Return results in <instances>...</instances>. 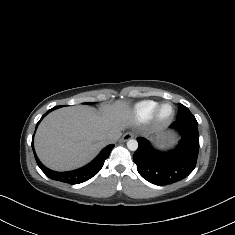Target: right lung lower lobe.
<instances>
[{
    "mask_svg": "<svg viewBox=\"0 0 235 235\" xmlns=\"http://www.w3.org/2000/svg\"><path fill=\"white\" fill-rule=\"evenodd\" d=\"M52 110H54V109L52 108L49 111H47L42 116V118L45 117ZM42 118L37 123L36 128H37L38 124L40 123V121L42 120ZM32 148H33V152H34V156L37 161V164L40 167V169L45 173L46 176H48L49 178H51L53 180L61 181L64 183L79 184V183H82V182L89 180L90 178H92L94 175H96L100 171V169L103 167L104 161L108 158L111 150L114 148V145L110 144L107 147H105L99 153V155L88 165H86L80 169H77L74 171H69V172H56V171L50 170L47 167H45L39 161L38 157L35 154L34 147H33V138H32Z\"/></svg>",
    "mask_w": 235,
    "mask_h": 235,
    "instance_id": "98d812e1",
    "label": "right lung lower lobe"
}]
</instances>
